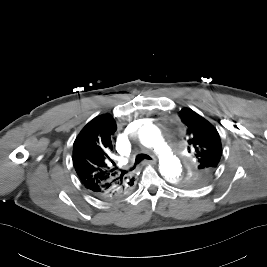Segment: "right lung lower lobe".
<instances>
[{"label": "right lung lower lobe", "instance_id": "1", "mask_svg": "<svg viewBox=\"0 0 267 267\" xmlns=\"http://www.w3.org/2000/svg\"><path fill=\"white\" fill-rule=\"evenodd\" d=\"M134 182L129 184L128 186L124 187V192H120V193H113L111 196H108V197H103V196H97L99 198H102L104 200H118V199H121L123 197H125L126 195H128L132 189V186H133ZM96 196V195H95Z\"/></svg>", "mask_w": 267, "mask_h": 267}]
</instances>
